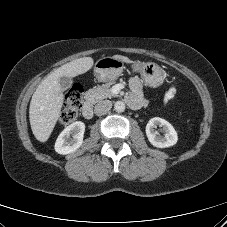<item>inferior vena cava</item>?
<instances>
[{"label":"inferior vena cava","mask_w":227,"mask_h":227,"mask_svg":"<svg viewBox=\"0 0 227 227\" xmlns=\"http://www.w3.org/2000/svg\"><path fill=\"white\" fill-rule=\"evenodd\" d=\"M112 103L109 100L99 101L95 107L94 112L96 115L101 116L110 111Z\"/></svg>","instance_id":"obj_1"}]
</instances>
